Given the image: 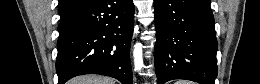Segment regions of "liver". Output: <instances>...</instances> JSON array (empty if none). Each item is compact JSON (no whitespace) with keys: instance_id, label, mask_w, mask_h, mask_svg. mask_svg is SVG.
I'll return each instance as SVG.
<instances>
[{"instance_id":"liver-1","label":"liver","mask_w":260,"mask_h":84,"mask_svg":"<svg viewBox=\"0 0 260 84\" xmlns=\"http://www.w3.org/2000/svg\"><path fill=\"white\" fill-rule=\"evenodd\" d=\"M71 84H115V80L110 77L99 75H83L72 79Z\"/></svg>"}]
</instances>
